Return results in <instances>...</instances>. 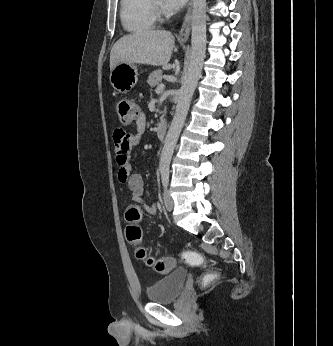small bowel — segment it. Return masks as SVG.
<instances>
[{
    "instance_id": "1",
    "label": "small bowel",
    "mask_w": 333,
    "mask_h": 346,
    "mask_svg": "<svg viewBox=\"0 0 333 346\" xmlns=\"http://www.w3.org/2000/svg\"><path fill=\"white\" fill-rule=\"evenodd\" d=\"M146 128V116L141 111L136 119V133H126L123 129H115L113 140L116 149V162L118 164L119 181L126 186L132 194L133 203H144L147 213L154 215L158 208L156 204L144 202V183L141 175L135 172L129 163V153L140 145L142 134Z\"/></svg>"
}]
</instances>
